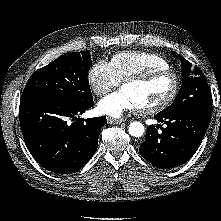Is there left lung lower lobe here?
I'll use <instances>...</instances> for the list:
<instances>
[{"mask_svg": "<svg viewBox=\"0 0 221 221\" xmlns=\"http://www.w3.org/2000/svg\"><path fill=\"white\" fill-rule=\"evenodd\" d=\"M154 117L166 128L161 132L157 130L160 125H150L139 151L155 167L166 169L184 164L195 154L208 128L211 110L158 113Z\"/></svg>", "mask_w": 221, "mask_h": 221, "instance_id": "left-lung-lower-lobe-1", "label": "left lung lower lobe"}]
</instances>
